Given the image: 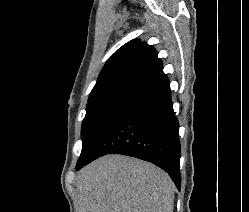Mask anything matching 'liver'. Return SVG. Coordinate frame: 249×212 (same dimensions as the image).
I'll return each instance as SVG.
<instances>
[{
  "label": "liver",
  "mask_w": 249,
  "mask_h": 212,
  "mask_svg": "<svg viewBox=\"0 0 249 212\" xmlns=\"http://www.w3.org/2000/svg\"><path fill=\"white\" fill-rule=\"evenodd\" d=\"M78 212H173L174 186L163 170L108 154L78 172Z\"/></svg>",
  "instance_id": "1"
}]
</instances>
